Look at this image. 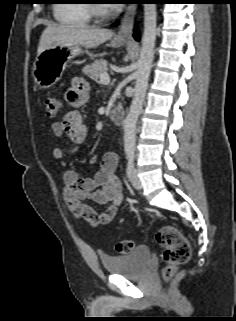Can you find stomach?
I'll list each match as a JSON object with an SVG mask.
<instances>
[{
    "label": "stomach",
    "instance_id": "obj_1",
    "mask_svg": "<svg viewBox=\"0 0 236 321\" xmlns=\"http://www.w3.org/2000/svg\"><path fill=\"white\" fill-rule=\"evenodd\" d=\"M123 41L112 40L110 45L120 47ZM83 53L80 45H52L37 55L33 64V78L35 83L44 89L57 83L73 58Z\"/></svg>",
    "mask_w": 236,
    "mask_h": 321
}]
</instances>
